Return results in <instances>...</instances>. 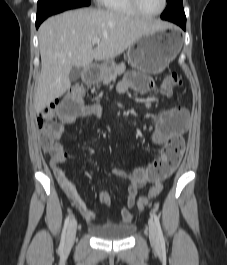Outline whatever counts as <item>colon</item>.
<instances>
[{
    "label": "colon",
    "instance_id": "5ec220e1",
    "mask_svg": "<svg viewBox=\"0 0 227 265\" xmlns=\"http://www.w3.org/2000/svg\"><path fill=\"white\" fill-rule=\"evenodd\" d=\"M182 83H183L182 79L177 73L175 72L169 73L166 76L165 81L163 83V87H162L163 92L166 95H170L172 93V90L174 88H178L182 86ZM70 91H83V94H84V89L79 84L72 86L67 91L65 96H70L69 95ZM59 102L61 101H56L46 106L38 114V117H37L38 126L44 134L41 140L43 148L50 147L53 143L50 129H51V124L55 120L56 114L58 113ZM180 157H181V154L178 152L168 153L163 158L162 165L168 169H174L177 166L180 160ZM162 188H163V185L161 182H157L154 186H152V188L150 189L149 195L147 197H141L138 199L137 201L138 208L145 209L150 204V201L156 198L161 193Z\"/></svg>",
    "mask_w": 227,
    "mask_h": 265
}]
</instances>
